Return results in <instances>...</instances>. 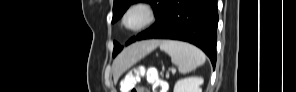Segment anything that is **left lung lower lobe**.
Masks as SVG:
<instances>
[{
  "instance_id": "obj_1",
  "label": "left lung lower lobe",
  "mask_w": 296,
  "mask_h": 92,
  "mask_svg": "<svg viewBox=\"0 0 296 92\" xmlns=\"http://www.w3.org/2000/svg\"><path fill=\"white\" fill-rule=\"evenodd\" d=\"M217 0H169L162 24L143 39H174L201 48L216 64Z\"/></svg>"
}]
</instances>
